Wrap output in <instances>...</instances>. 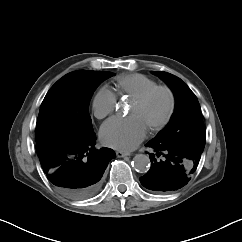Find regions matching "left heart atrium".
I'll use <instances>...</instances> for the list:
<instances>
[{"mask_svg":"<svg viewBox=\"0 0 242 242\" xmlns=\"http://www.w3.org/2000/svg\"><path fill=\"white\" fill-rule=\"evenodd\" d=\"M146 131L140 121L132 115L115 116L102 125L100 137L102 142L111 148L131 151L142 142Z\"/></svg>","mask_w":242,"mask_h":242,"instance_id":"39dd6f15","label":"left heart atrium"}]
</instances>
